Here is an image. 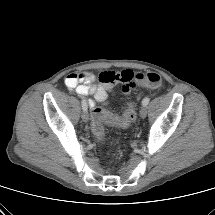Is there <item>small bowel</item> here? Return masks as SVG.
<instances>
[{
  "label": "small bowel",
  "instance_id": "obj_1",
  "mask_svg": "<svg viewBox=\"0 0 215 215\" xmlns=\"http://www.w3.org/2000/svg\"><path fill=\"white\" fill-rule=\"evenodd\" d=\"M133 71L126 69L121 72L105 71L99 75L100 84H94L95 75L89 71L72 73L66 76L65 85L69 90L75 91L80 96L94 95L95 100H89V106L94 108L96 102H105L108 92L115 84H124L123 90L128 93L133 87Z\"/></svg>",
  "mask_w": 215,
  "mask_h": 215
}]
</instances>
